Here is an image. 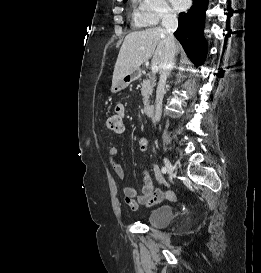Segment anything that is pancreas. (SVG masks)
Returning <instances> with one entry per match:
<instances>
[{
  "instance_id": "pancreas-1",
  "label": "pancreas",
  "mask_w": 261,
  "mask_h": 273,
  "mask_svg": "<svg viewBox=\"0 0 261 273\" xmlns=\"http://www.w3.org/2000/svg\"><path fill=\"white\" fill-rule=\"evenodd\" d=\"M141 93L143 96V103L147 105L149 103V96L152 94L153 87L155 86V76L147 73V78L143 79Z\"/></svg>"
}]
</instances>
